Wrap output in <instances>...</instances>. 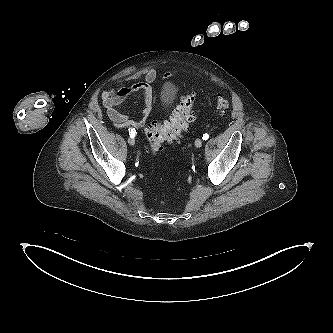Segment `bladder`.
I'll use <instances>...</instances> for the list:
<instances>
[{"label":"bladder","instance_id":"obj_1","mask_svg":"<svg viewBox=\"0 0 333 333\" xmlns=\"http://www.w3.org/2000/svg\"><path fill=\"white\" fill-rule=\"evenodd\" d=\"M177 94L176 88L172 84L164 85L161 91V103L163 106H168Z\"/></svg>","mask_w":333,"mask_h":333}]
</instances>
